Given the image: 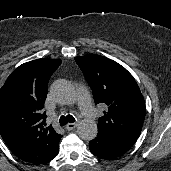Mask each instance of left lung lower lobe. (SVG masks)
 <instances>
[{
	"mask_svg": "<svg viewBox=\"0 0 171 171\" xmlns=\"http://www.w3.org/2000/svg\"><path fill=\"white\" fill-rule=\"evenodd\" d=\"M89 148L92 154L102 159L117 158L129 150V148L100 134H97V137L89 142Z\"/></svg>",
	"mask_w": 171,
	"mask_h": 171,
	"instance_id": "obj_1",
	"label": "left lung lower lobe"
}]
</instances>
